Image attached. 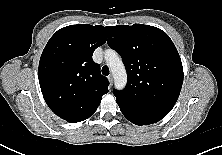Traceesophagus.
I'll return each mask as SVG.
<instances>
[{"mask_svg": "<svg viewBox=\"0 0 222 155\" xmlns=\"http://www.w3.org/2000/svg\"><path fill=\"white\" fill-rule=\"evenodd\" d=\"M108 80H109L110 84L112 85V84H113V76H112V75H109V76H108Z\"/></svg>", "mask_w": 222, "mask_h": 155, "instance_id": "esophagus-1", "label": "esophagus"}]
</instances>
